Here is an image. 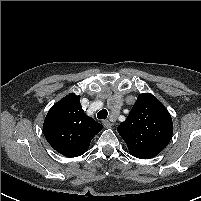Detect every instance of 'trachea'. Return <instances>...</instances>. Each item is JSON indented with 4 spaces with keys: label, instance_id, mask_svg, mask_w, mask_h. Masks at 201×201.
Here are the masks:
<instances>
[{
    "label": "trachea",
    "instance_id": "3493384b",
    "mask_svg": "<svg viewBox=\"0 0 201 201\" xmlns=\"http://www.w3.org/2000/svg\"><path fill=\"white\" fill-rule=\"evenodd\" d=\"M108 115V112L106 109H102L101 111L98 112L97 117L98 119H106Z\"/></svg>",
    "mask_w": 201,
    "mask_h": 201
}]
</instances>
